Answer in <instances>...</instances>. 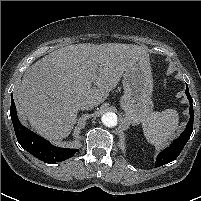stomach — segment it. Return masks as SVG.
I'll return each instance as SVG.
<instances>
[{"instance_id": "0dacf381", "label": "stomach", "mask_w": 201, "mask_h": 201, "mask_svg": "<svg viewBox=\"0 0 201 201\" xmlns=\"http://www.w3.org/2000/svg\"><path fill=\"white\" fill-rule=\"evenodd\" d=\"M124 94L120 105L132 124L142 122L153 110V78L150 60L140 57L123 74Z\"/></svg>"}]
</instances>
